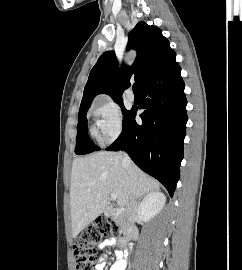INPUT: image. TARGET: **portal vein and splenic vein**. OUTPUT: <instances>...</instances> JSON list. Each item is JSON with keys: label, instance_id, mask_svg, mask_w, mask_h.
I'll list each match as a JSON object with an SVG mask.
<instances>
[{"label": "portal vein and splenic vein", "instance_id": "1", "mask_svg": "<svg viewBox=\"0 0 242 270\" xmlns=\"http://www.w3.org/2000/svg\"><path fill=\"white\" fill-rule=\"evenodd\" d=\"M118 198V195L116 193L111 194V199L116 200Z\"/></svg>", "mask_w": 242, "mask_h": 270}]
</instances>
